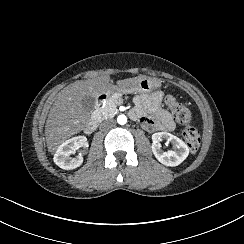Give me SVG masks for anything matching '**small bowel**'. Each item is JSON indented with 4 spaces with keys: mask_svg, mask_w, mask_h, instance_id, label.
<instances>
[{
    "mask_svg": "<svg viewBox=\"0 0 244 244\" xmlns=\"http://www.w3.org/2000/svg\"><path fill=\"white\" fill-rule=\"evenodd\" d=\"M163 92L155 89L153 92H139L137 93V105L140 110L150 109L155 112L159 118L165 122L167 127H172L174 122L169 118L167 112L163 107ZM145 119V116H143Z\"/></svg>",
    "mask_w": 244,
    "mask_h": 244,
    "instance_id": "small-bowel-1",
    "label": "small bowel"
}]
</instances>
